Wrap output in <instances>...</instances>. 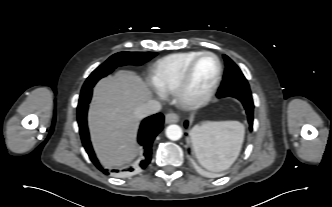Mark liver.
<instances>
[{
    "label": "liver",
    "instance_id": "obj_1",
    "mask_svg": "<svg viewBox=\"0 0 332 207\" xmlns=\"http://www.w3.org/2000/svg\"><path fill=\"white\" fill-rule=\"evenodd\" d=\"M150 98L147 84L129 71H118L94 88L88 122L94 149L105 167H120L137 155L135 110Z\"/></svg>",
    "mask_w": 332,
    "mask_h": 207
}]
</instances>
